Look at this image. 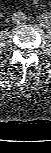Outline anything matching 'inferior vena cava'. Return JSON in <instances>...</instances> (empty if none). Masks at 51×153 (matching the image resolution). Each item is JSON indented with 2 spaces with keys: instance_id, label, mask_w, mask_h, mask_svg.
<instances>
[{
  "instance_id": "inferior-vena-cava-1",
  "label": "inferior vena cava",
  "mask_w": 51,
  "mask_h": 153,
  "mask_svg": "<svg viewBox=\"0 0 51 153\" xmlns=\"http://www.w3.org/2000/svg\"><path fill=\"white\" fill-rule=\"evenodd\" d=\"M27 16L23 12H15L12 15V21L15 24H23L26 22Z\"/></svg>"
}]
</instances>
